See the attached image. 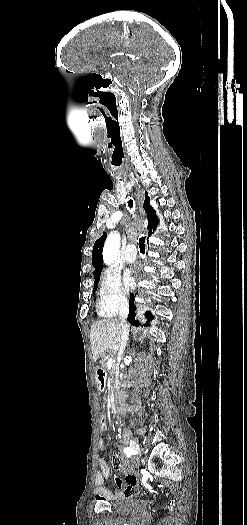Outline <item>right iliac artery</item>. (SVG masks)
Masks as SVG:
<instances>
[{
  "label": "right iliac artery",
  "instance_id": "82829eb1",
  "mask_svg": "<svg viewBox=\"0 0 247 525\" xmlns=\"http://www.w3.org/2000/svg\"><path fill=\"white\" fill-rule=\"evenodd\" d=\"M124 453L127 457H130L132 455V449L129 447L124 448Z\"/></svg>",
  "mask_w": 247,
  "mask_h": 525
}]
</instances>
